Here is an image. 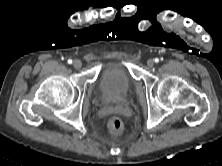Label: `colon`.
Segmentation results:
<instances>
[{"mask_svg":"<svg viewBox=\"0 0 222 166\" xmlns=\"http://www.w3.org/2000/svg\"><path fill=\"white\" fill-rule=\"evenodd\" d=\"M124 129V123L119 117H112L108 121V130L114 135L122 133Z\"/></svg>","mask_w":222,"mask_h":166,"instance_id":"obj_1","label":"colon"}]
</instances>
